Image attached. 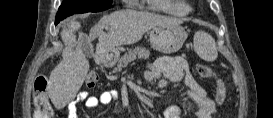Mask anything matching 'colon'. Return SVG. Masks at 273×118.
Segmentation results:
<instances>
[{"label": "colon", "mask_w": 273, "mask_h": 118, "mask_svg": "<svg viewBox=\"0 0 273 118\" xmlns=\"http://www.w3.org/2000/svg\"><path fill=\"white\" fill-rule=\"evenodd\" d=\"M198 75L202 78L216 79V92L214 96L215 103L221 105L225 98V86L221 79L216 78L214 71L205 64H198L196 67ZM98 75L95 72L88 73L86 85L94 87L98 82ZM34 105L36 118H52L53 109L47 96V79L44 76H38L34 81Z\"/></svg>", "instance_id": "5ec220e1"}]
</instances>
